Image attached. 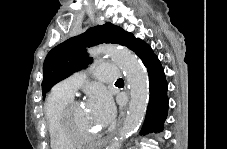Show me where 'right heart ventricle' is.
I'll return each mask as SVG.
<instances>
[{
	"instance_id": "right-heart-ventricle-1",
	"label": "right heart ventricle",
	"mask_w": 227,
	"mask_h": 149,
	"mask_svg": "<svg viewBox=\"0 0 227 149\" xmlns=\"http://www.w3.org/2000/svg\"><path fill=\"white\" fill-rule=\"evenodd\" d=\"M71 100V96L55 89L46 99L44 114L52 149H70L77 145L64 134L61 124V113Z\"/></svg>"
}]
</instances>
